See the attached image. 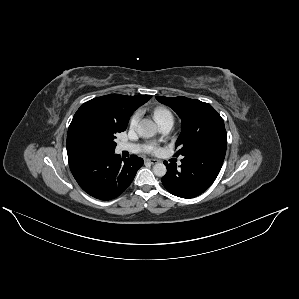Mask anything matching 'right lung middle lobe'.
Returning a JSON list of instances; mask_svg holds the SVG:
<instances>
[{
	"instance_id": "obj_1",
	"label": "right lung middle lobe",
	"mask_w": 299,
	"mask_h": 299,
	"mask_svg": "<svg viewBox=\"0 0 299 299\" xmlns=\"http://www.w3.org/2000/svg\"><path fill=\"white\" fill-rule=\"evenodd\" d=\"M127 124L117 123L109 118L87 116L76 121L72 137L82 149L115 150L116 135L126 130Z\"/></svg>"
}]
</instances>
